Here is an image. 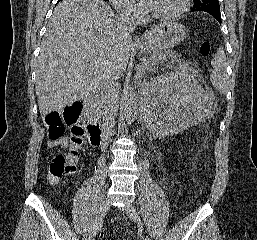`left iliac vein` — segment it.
<instances>
[{"label": "left iliac vein", "instance_id": "1", "mask_svg": "<svg viewBox=\"0 0 257 240\" xmlns=\"http://www.w3.org/2000/svg\"><path fill=\"white\" fill-rule=\"evenodd\" d=\"M123 213L132 221H137L136 209L133 205H126L122 208ZM145 240H151L150 237H146Z\"/></svg>", "mask_w": 257, "mask_h": 240}]
</instances>
